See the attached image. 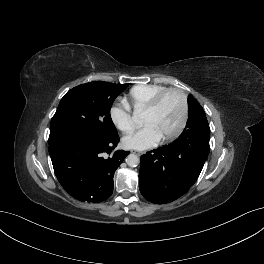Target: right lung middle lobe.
Returning <instances> with one entry per match:
<instances>
[{"mask_svg":"<svg viewBox=\"0 0 264 264\" xmlns=\"http://www.w3.org/2000/svg\"><path fill=\"white\" fill-rule=\"evenodd\" d=\"M128 86L94 81L71 89L61 99L51 120L48 144L67 136L98 139L117 136L110 109Z\"/></svg>","mask_w":264,"mask_h":264,"instance_id":"1","label":"right lung middle lobe"}]
</instances>
